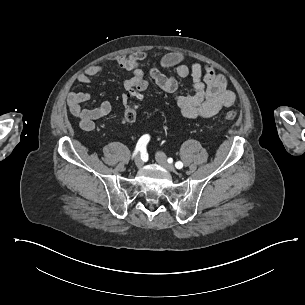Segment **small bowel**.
<instances>
[{"mask_svg":"<svg viewBox=\"0 0 305 305\" xmlns=\"http://www.w3.org/2000/svg\"><path fill=\"white\" fill-rule=\"evenodd\" d=\"M146 52L139 51L129 56L119 55L111 59L120 68L131 72V77L124 80L123 87L126 90L121 96V103L126 107V101L136 83L147 81L144 78V69H147L155 84L165 92L173 93L178 89V80L173 75H166L159 69L145 62ZM185 56L180 52H172L164 55L161 66L164 69L175 68L179 78L191 77L193 93L178 95L175 98L181 114L189 119H208L215 116L222 108L230 107L235 102V94L227 88V80L215 71L210 65L194 63L191 66L184 64ZM104 65H91L84 70L79 77L82 84L91 83L94 76L106 71ZM88 92L70 91L67 104L70 113L79 119V126L84 131H93L96 121L106 117L112 111V104L103 101L95 108H84V102L90 99Z\"/></svg>","mask_w":305,"mask_h":305,"instance_id":"c3829d8e","label":"small bowel"}]
</instances>
